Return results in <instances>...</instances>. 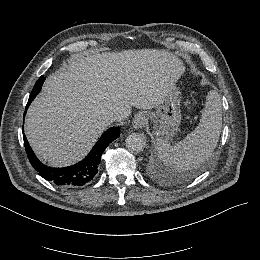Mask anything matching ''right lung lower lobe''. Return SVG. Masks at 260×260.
<instances>
[{"instance_id": "obj_1", "label": "right lung lower lobe", "mask_w": 260, "mask_h": 260, "mask_svg": "<svg viewBox=\"0 0 260 260\" xmlns=\"http://www.w3.org/2000/svg\"><path fill=\"white\" fill-rule=\"evenodd\" d=\"M44 76H41L36 82L34 89L29 97L26 110L32 100L40 92L42 84L44 82ZM26 110L24 116L26 114ZM120 135L119 127H114L107 130L93 147L91 152L87 155L85 159L79 163L69 166L66 168H51L42 164L35 156L33 150L29 146V143L23 133L24 146L28 159L34 169L42 176L44 179L54 183L59 187L65 188H75L83 186L89 183L98 173V167L101 160V156L107 146Z\"/></svg>"}]
</instances>
